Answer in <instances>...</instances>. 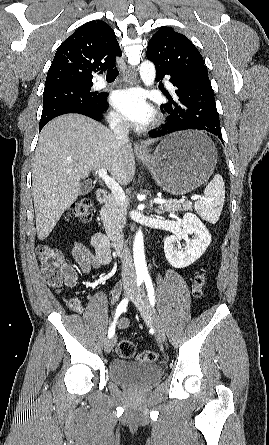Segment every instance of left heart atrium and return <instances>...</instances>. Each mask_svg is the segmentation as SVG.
I'll return each mask as SVG.
<instances>
[{
	"label": "left heart atrium",
	"mask_w": 269,
	"mask_h": 445,
	"mask_svg": "<svg viewBox=\"0 0 269 445\" xmlns=\"http://www.w3.org/2000/svg\"><path fill=\"white\" fill-rule=\"evenodd\" d=\"M112 104L128 121L136 125L148 123L152 111L142 94L135 89H120L113 93Z\"/></svg>",
	"instance_id": "obj_1"
}]
</instances>
